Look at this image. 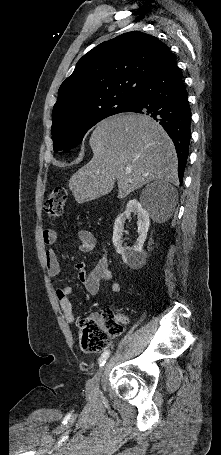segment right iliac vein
<instances>
[{
  "instance_id": "63e3f726",
  "label": "right iliac vein",
  "mask_w": 221,
  "mask_h": 455,
  "mask_svg": "<svg viewBox=\"0 0 221 455\" xmlns=\"http://www.w3.org/2000/svg\"><path fill=\"white\" fill-rule=\"evenodd\" d=\"M105 369V366L102 367L98 372L97 374L87 383L86 385V391L88 393V395H92L94 392H96V390L98 389V386H99V380H100V377L103 373Z\"/></svg>"
}]
</instances>
